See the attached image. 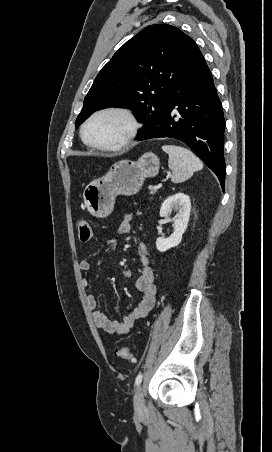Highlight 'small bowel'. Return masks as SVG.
<instances>
[{"instance_id": "1", "label": "small bowel", "mask_w": 272, "mask_h": 452, "mask_svg": "<svg viewBox=\"0 0 272 452\" xmlns=\"http://www.w3.org/2000/svg\"><path fill=\"white\" fill-rule=\"evenodd\" d=\"M133 219L134 217L131 212L125 213L118 226V233L121 235L129 234L132 230ZM106 243L112 251L118 246V240L113 237L107 238ZM136 251L141 266V273L135 281V287L142 293V298L140 303L123 317L122 321L111 320L100 311L97 308L96 297L92 292L87 296V305L92 311V317L96 328L110 335H124L128 333L137 321L148 315L155 305L157 288L154 284V271L150 266L145 243L138 242ZM90 267L91 264L88 260L79 262V268L82 271H88ZM82 285L89 288L90 280L88 278H83Z\"/></svg>"}]
</instances>
